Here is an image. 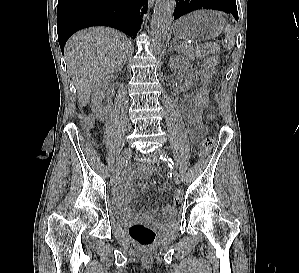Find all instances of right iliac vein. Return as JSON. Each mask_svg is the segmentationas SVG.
<instances>
[{"label":"right iliac vein","instance_id":"obj_1","mask_svg":"<svg viewBox=\"0 0 299 273\" xmlns=\"http://www.w3.org/2000/svg\"><path fill=\"white\" fill-rule=\"evenodd\" d=\"M132 155V149L130 147L126 148L120 158H119V161L117 163V166L112 174V179H111V182L112 184H116L118 182V179H119V176H120V173L122 171V168L125 164V162L127 161V159Z\"/></svg>","mask_w":299,"mask_h":273}]
</instances>
